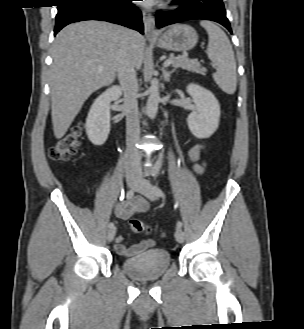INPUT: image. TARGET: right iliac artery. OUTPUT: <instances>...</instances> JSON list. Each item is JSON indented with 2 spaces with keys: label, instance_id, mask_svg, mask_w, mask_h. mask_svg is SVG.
Here are the masks:
<instances>
[{
  "label": "right iliac artery",
  "instance_id": "right-iliac-artery-1",
  "mask_svg": "<svg viewBox=\"0 0 304 329\" xmlns=\"http://www.w3.org/2000/svg\"><path fill=\"white\" fill-rule=\"evenodd\" d=\"M134 193H135L134 189L129 190L126 194V198L131 199L134 196ZM108 227L112 228V227H114V224L111 222V223L108 224Z\"/></svg>",
  "mask_w": 304,
  "mask_h": 329
}]
</instances>
